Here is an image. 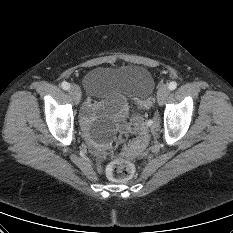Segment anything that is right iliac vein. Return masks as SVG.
<instances>
[{
  "label": "right iliac vein",
  "instance_id": "63e3f726",
  "mask_svg": "<svg viewBox=\"0 0 233 233\" xmlns=\"http://www.w3.org/2000/svg\"><path fill=\"white\" fill-rule=\"evenodd\" d=\"M69 93L75 103H79L81 99V91L77 85H72L69 89Z\"/></svg>",
  "mask_w": 233,
  "mask_h": 233
}]
</instances>
